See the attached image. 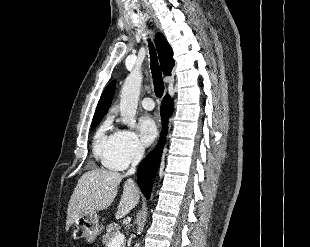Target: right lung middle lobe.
<instances>
[{"mask_svg":"<svg viewBox=\"0 0 310 247\" xmlns=\"http://www.w3.org/2000/svg\"><path fill=\"white\" fill-rule=\"evenodd\" d=\"M102 118H103V116L94 119L93 122H92L91 128H92V129L95 128V127L100 123V121L102 120Z\"/></svg>","mask_w":310,"mask_h":247,"instance_id":"dd1d6c3e","label":"right lung middle lobe"}]
</instances>
